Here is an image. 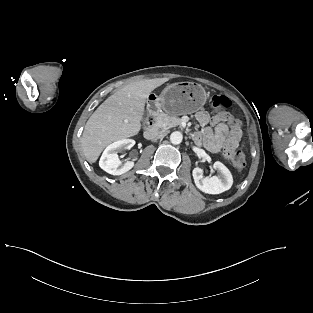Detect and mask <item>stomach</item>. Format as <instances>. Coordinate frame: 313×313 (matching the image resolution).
<instances>
[{
	"instance_id": "1",
	"label": "stomach",
	"mask_w": 313,
	"mask_h": 313,
	"mask_svg": "<svg viewBox=\"0 0 313 313\" xmlns=\"http://www.w3.org/2000/svg\"><path fill=\"white\" fill-rule=\"evenodd\" d=\"M207 100L205 89L192 82L168 85L159 96L150 98L149 103L157 110L171 115L191 114L203 107Z\"/></svg>"
}]
</instances>
